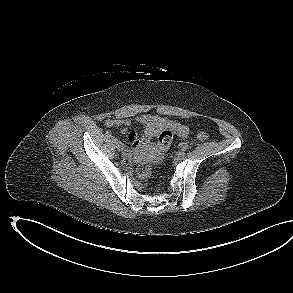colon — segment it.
<instances>
[{
  "label": "colon",
  "instance_id": "5ec220e1",
  "mask_svg": "<svg viewBox=\"0 0 293 293\" xmlns=\"http://www.w3.org/2000/svg\"><path fill=\"white\" fill-rule=\"evenodd\" d=\"M196 138L199 141H206L208 138V134L206 132H198L196 134ZM173 139V133L170 130H165L161 132L158 136V150L160 152H165L171 145ZM138 175L141 179L147 180L151 177V168L147 163H142L138 167Z\"/></svg>",
  "mask_w": 293,
  "mask_h": 293
}]
</instances>
